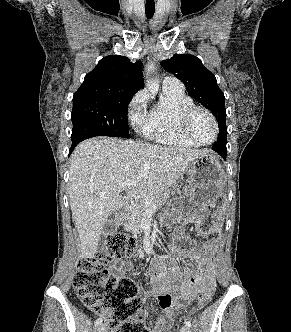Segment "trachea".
<instances>
[{
  "label": "trachea",
  "mask_w": 291,
  "mask_h": 332,
  "mask_svg": "<svg viewBox=\"0 0 291 332\" xmlns=\"http://www.w3.org/2000/svg\"><path fill=\"white\" fill-rule=\"evenodd\" d=\"M155 12V3L154 2H147L145 5V13L148 19H151Z\"/></svg>",
  "instance_id": "1"
}]
</instances>
